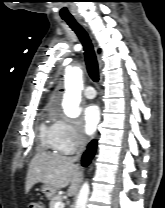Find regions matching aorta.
Segmentation results:
<instances>
[{
  "instance_id": "762f6f07",
  "label": "aorta",
  "mask_w": 165,
  "mask_h": 208,
  "mask_svg": "<svg viewBox=\"0 0 165 208\" xmlns=\"http://www.w3.org/2000/svg\"><path fill=\"white\" fill-rule=\"evenodd\" d=\"M66 92L64 95L63 108L65 114L70 118L79 116V103L83 89L82 71L78 67L69 68L66 71ZM90 189L88 182H85L77 196L75 208H86Z\"/></svg>"
}]
</instances>
